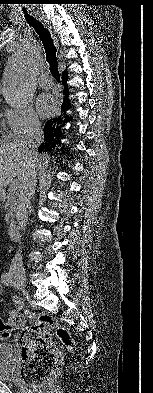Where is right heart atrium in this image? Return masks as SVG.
Wrapping results in <instances>:
<instances>
[{"instance_id":"obj_1","label":"right heart atrium","mask_w":153,"mask_h":393,"mask_svg":"<svg viewBox=\"0 0 153 393\" xmlns=\"http://www.w3.org/2000/svg\"><path fill=\"white\" fill-rule=\"evenodd\" d=\"M4 124L10 136L21 137L40 129L39 118L31 106L9 108L4 113Z\"/></svg>"}]
</instances>
